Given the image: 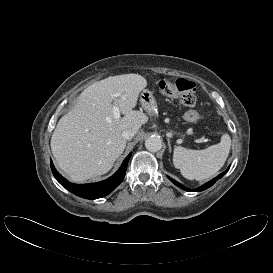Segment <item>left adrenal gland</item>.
<instances>
[{"instance_id":"left-adrenal-gland-1","label":"left adrenal gland","mask_w":273,"mask_h":273,"mask_svg":"<svg viewBox=\"0 0 273 273\" xmlns=\"http://www.w3.org/2000/svg\"><path fill=\"white\" fill-rule=\"evenodd\" d=\"M168 145H169V151L171 152V145H170V142H168Z\"/></svg>"}]
</instances>
